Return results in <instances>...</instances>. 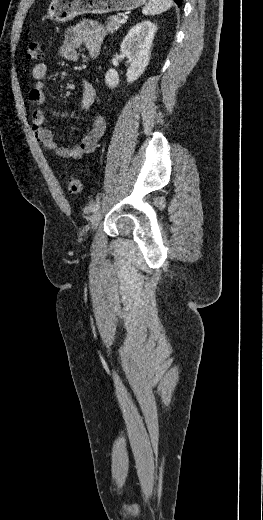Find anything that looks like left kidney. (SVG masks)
<instances>
[{
	"mask_svg": "<svg viewBox=\"0 0 263 520\" xmlns=\"http://www.w3.org/2000/svg\"><path fill=\"white\" fill-rule=\"evenodd\" d=\"M157 28L150 21H142L133 26L121 43V52L128 58L127 82L137 80L150 61L151 45ZM106 84L114 88L119 84L115 69H109L105 75Z\"/></svg>",
	"mask_w": 263,
	"mask_h": 520,
	"instance_id": "1",
	"label": "left kidney"
}]
</instances>
